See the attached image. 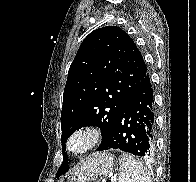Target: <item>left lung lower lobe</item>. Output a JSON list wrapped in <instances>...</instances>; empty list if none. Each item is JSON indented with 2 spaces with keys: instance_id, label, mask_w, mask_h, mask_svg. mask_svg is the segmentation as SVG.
I'll use <instances>...</instances> for the list:
<instances>
[{
  "instance_id": "left-lung-lower-lobe-1",
  "label": "left lung lower lobe",
  "mask_w": 196,
  "mask_h": 182,
  "mask_svg": "<svg viewBox=\"0 0 196 182\" xmlns=\"http://www.w3.org/2000/svg\"><path fill=\"white\" fill-rule=\"evenodd\" d=\"M154 96L149 74L119 110L110 135L97 150L117 149L142 158L154 155Z\"/></svg>"
}]
</instances>
